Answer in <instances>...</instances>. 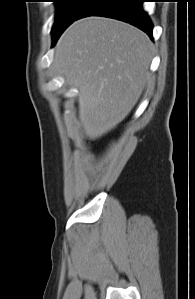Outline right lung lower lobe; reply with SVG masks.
<instances>
[{"mask_svg":"<svg viewBox=\"0 0 195 299\" xmlns=\"http://www.w3.org/2000/svg\"><path fill=\"white\" fill-rule=\"evenodd\" d=\"M142 2L143 0H93L77 19L91 15L118 19L138 27L152 38L153 25Z\"/></svg>","mask_w":195,"mask_h":299,"instance_id":"right-lung-lower-lobe-1","label":"right lung lower lobe"}]
</instances>
